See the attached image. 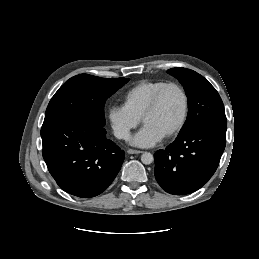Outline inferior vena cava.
Instances as JSON below:
<instances>
[{"label":"inferior vena cava","mask_w":259,"mask_h":259,"mask_svg":"<svg viewBox=\"0 0 259 259\" xmlns=\"http://www.w3.org/2000/svg\"><path fill=\"white\" fill-rule=\"evenodd\" d=\"M115 136L119 139H128L130 136V133L126 130H117L115 131Z\"/></svg>","instance_id":"obj_1"}]
</instances>
